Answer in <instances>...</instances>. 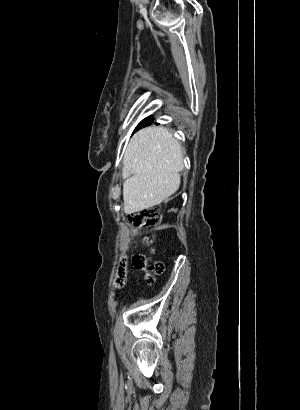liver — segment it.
I'll use <instances>...</instances> for the list:
<instances>
[{"label": "liver", "instance_id": "liver-1", "mask_svg": "<svg viewBox=\"0 0 300 410\" xmlns=\"http://www.w3.org/2000/svg\"><path fill=\"white\" fill-rule=\"evenodd\" d=\"M182 170V147L167 128L137 132L124 155V212L143 211L167 200L178 190Z\"/></svg>", "mask_w": 300, "mask_h": 410}]
</instances>
